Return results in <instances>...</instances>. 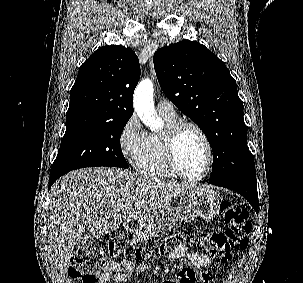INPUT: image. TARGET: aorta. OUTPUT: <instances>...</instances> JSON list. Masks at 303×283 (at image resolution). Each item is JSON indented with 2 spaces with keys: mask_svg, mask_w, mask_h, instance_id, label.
<instances>
[{
  "mask_svg": "<svg viewBox=\"0 0 303 283\" xmlns=\"http://www.w3.org/2000/svg\"><path fill=\"white\" fill-rule=\"evenodd\" d=\"M153 83L150 79L141 81L134 93V109L141 121L152 131L157 130L162 121L158 118L154 108Z\"/></svg>",
  "mask_w": 303,
  "mask_h": 283,
  "instance_id": "aorta-1",
  "label": "aorta"
}]
</instances>
